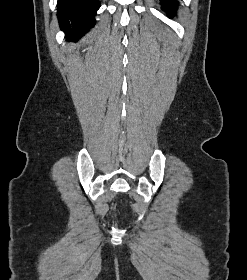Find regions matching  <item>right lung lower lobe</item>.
Returning a JSON list of instances; mask_svg holds the SVG:
<instances>
[{
  "label": "right lung lower lobe",
  "mask_w": 247,
  "mask_h": 280,
  "mask_svg": "<svg viewBox=\"0 0 247 280\" xmlns=\"http://www.w3.org/2000/svg\"><path fill=\"white\" fill-rule=\"evenodd\" d=\"M98 0H59L57 17L67 38L81 37L95 24Z\"/></svg>",
  "instance_id": "obj_1"
}]
</instances>
